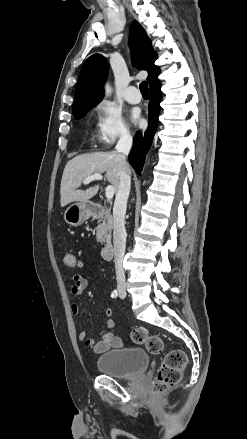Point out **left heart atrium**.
<instances>
[{
  "label": "left heart atrium",
  "instance_id": "obj_1",
  "mask_svg": "<svg viewBox=\"0 0 247 439\" xmlns=\"http://www.w3.org/2000/svg\"><path fill=\"white\" fill-rule=\"evenodd\" d=\"M131 117H132V120H133L134 122H139V121H140V117H139L138 112H133L132 115H131Z\"/></svg>",
  "mask_w": 247,
  "mask_h": 439
}]
</instances>
